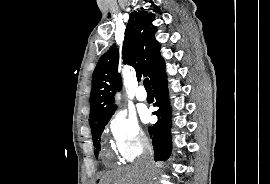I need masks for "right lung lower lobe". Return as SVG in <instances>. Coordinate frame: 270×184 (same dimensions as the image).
<instances>
[{
  "label": "right lung lower lobe",
  "mask_w": 270,
  "mask_h": 184,
  "mask_svg": "<svg viewBox=\"0 0 270 184\" xmlns=\"http://www.w3.org/2000/svg\"><path fill=\"white\" fill-rule=\"evenodd\" d=\"M151 84L155 96L154 106L158 107V110L153 114L158 117V121L153 126L148 127V131L152 137L155 161H165L171 152V140L169 134V128L171 126V123L169 122L170 108L168 106L169 99L165 70H163Z\"/></svg>",
  "instance_id": "obj_1"
}]
</instances>
